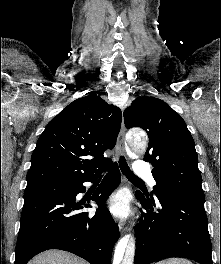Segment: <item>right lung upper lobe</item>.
Instances as JSON below:
<instances>
[{
	"label": "right lung upper lobe",
	"mask_w": 221,
	"mask_h": 264,
	"mask_svg": "<svg viewBox=\"0 0 221 264\" xmlns=\"http://www.w3.org/2000/svg\"><path fill=\"white\" fill-rule=\"evenodd\" d=\"M120 127L121 110L101 97L73 101L39 137L25 190L96 175L109 161L103 153L115 146Z\"/></svg>",
	"instance_id": "right-lung-upper-lobe-1"
}]
</instances>
